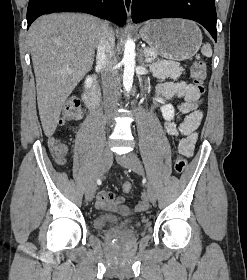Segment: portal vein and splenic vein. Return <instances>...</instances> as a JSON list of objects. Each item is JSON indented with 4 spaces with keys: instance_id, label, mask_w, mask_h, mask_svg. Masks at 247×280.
I'll return each mask as SVG.
<instances>
[{
    "instance_id": "18ae733b",
    "label": "portal vein and splenic vein",
    "mask_w": 247,
    "mask_h": 280,
    "mask_svg": "<svg viewBox=\"0 0 247 280\" xmlns=\"http://www.w3.org/2000/svg\"><path fill=\"white\" fill-rule=\"evenodd\" d=\"M147 58L146 61L147 62H152L154 60V58L151 57V54H146Z\"/></svg>"
}]
</instances>
